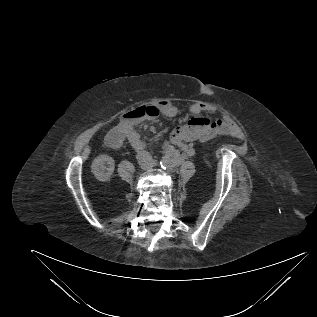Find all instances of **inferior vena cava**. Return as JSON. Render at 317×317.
<instances>
[{
    "label": "inferior vena cava",
    "mask_w": 317,
    "mask_h": 317,
    "mask_svg": "<svg viewBox=\"0 0 317 317\" xmlns=\"http://www.w3.org/2000/svg\"><path fill=\"white\" fill-rule=\"evenodd\" d=\"M139 165L144 168H151L154 165L152 156L148 151H139L136 155Z\"/></svg>",
    "instance_id": "obj_1"
}]
</instances>
